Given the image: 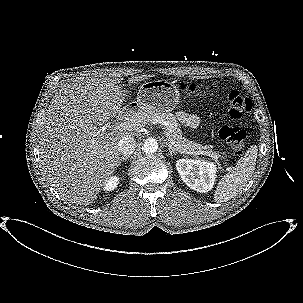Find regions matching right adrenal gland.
I'll list each match as a JSON object with an SVG mask.
<instances>
[{
    "label": "right adrenal gland",
    "instance_id": "obj_1",
    "mask_svg": "<svg viewBox=\"0 0 303 303\" xmlns=\"http://www.w3.org/2000/svg\"><path fill=\"white\" fill-rule=\"evenodd\" d=\"M130 158V155H124L122 157H120V160H119V163H118V166L122 163V161H126Z\"/></svg>",
    "mask_w": 303,
    "mask_h": 303
}]
</instances>
